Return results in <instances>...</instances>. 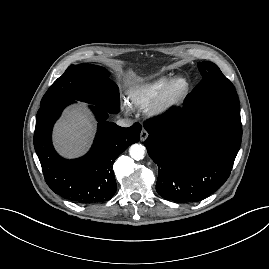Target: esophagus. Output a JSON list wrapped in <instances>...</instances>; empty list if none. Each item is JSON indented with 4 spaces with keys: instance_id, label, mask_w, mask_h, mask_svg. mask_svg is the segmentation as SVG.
Instances as JSON below:
<instances>
[{
    "instance_id": "1",
    "label": "esophagus",
    "mask_w": 269,
    "mask_h": 269,
    "mask_svg": "<svg viewBox=\"0 0 269 269\" xmlns=\"http://www.w3.org/2000/svg\"><path fill=\"white\" fill-rule=\"evenodd\" d=\"M148 138V132L142 128L141 134H140V140L145 141Z\"/></svg>"
}]
</instances>
